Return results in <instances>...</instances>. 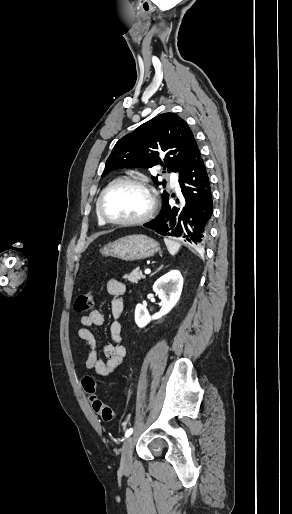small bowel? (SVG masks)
Returning a JSON list of instances; mask_svg holds the SVG:
<instances>
[{
	"label": "small bowel",
	"instance_id": "1",
	"mask_svg": "<svg viewBox=\"0 0 292 514\" xmlns=\"http://www.w3.org/2000/svg\"><path fill=\"white\" fill-rule=\"evenodd\" d=\"M107 292L113 297L111 301V313L115 320L110 324V335L112 342L104 345L103 357L97 353V341L91 328L101 327L104 323L103 314L93 310L81 317L83 327L76 331L77 336L89 346L88 356L84 362L86 370H93L96 376L105 377L110 375L116 368L123 364L127 354L126 347L121 344L122 324L118 320L124 311V303L121 296L125 293L126 287L118 279L110 278L106 282Z\"/></svg>",
	"mask_w": 292,
	"mask_h": 514
}]
</instances>
